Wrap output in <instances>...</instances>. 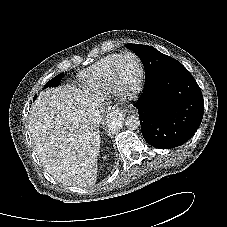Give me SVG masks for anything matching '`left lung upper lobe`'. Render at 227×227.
<instances>
[{
    "mask_svg": "<svg viewBox=\"0 0 227 227\" xmlns=\"http://www.w3.org/2000/svg\"><path fill=\"white\" fill-rule=\"evenodd\" d=\"M126 47H128L130 50H133L140 57L141 60L144 59L142 57L144 56L142 52H144L145 49H148L156 54L155 55L156 58L154 61H150L148 63H144L142 61L145 68V82L154 79L167 71L184 67L180 62H178L174 58H171L159 52L153 47L139 44H126Z\"/></svg>",
    "mask_w": 227,
    "mask_h": 227,
    "instance_id": "left-lung-upper-lobe-1",
    "label": "left lung upper lobe"
}]
</instances>
